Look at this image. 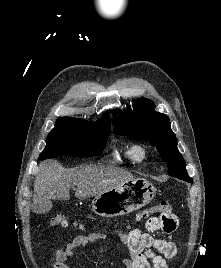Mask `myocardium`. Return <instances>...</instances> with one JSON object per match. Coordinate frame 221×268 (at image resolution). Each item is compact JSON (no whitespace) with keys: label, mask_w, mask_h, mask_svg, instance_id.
<instances>
[{"label":"myocardium","mask_w":221,"mask_h":268,"mask_svg":"<svg viewBox=\"0 0 221 268\" xmlns=\"http://www.w3.org/2000/svg\"><path fill=\"white\" fill-rule=\"evenodd\" d=\"M131 155L134 161L141 162L147 156L146 147L142 144H135L132 146Z\"/></svg>","instance_id":"myocardium-1"}]
</instances>
